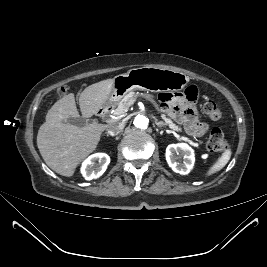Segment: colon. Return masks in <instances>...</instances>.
<instances>
[{"instance_id":"colon-1","label":"colon","mask_w":267,"mask_h":267,"mask_svg":"<svg viewBox=\"0 0 267 267\" xmlns=\"http://www.w3.org/2000/svg\"><path fill=\"white\" fill-rule=\"evenodd\" d=\"M65 93L64 89L59 91V94L62 95ZM203 112L206 116L213 120L218 121L221 119L223 111L221 106L214 101H207L203 105ZM207 148L211 152H223L228 148V142L224 137V134L220 128H214L208 137Z\"/></svg>"}]
</instances>
